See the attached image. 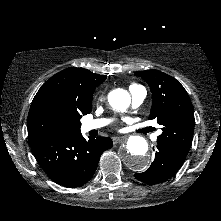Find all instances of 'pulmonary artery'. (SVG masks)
<instances>
[{"mask_svg": "<svg viewBox=\"0 0 221 221\" xmlns=\"http://www.w3.org/2000/svg\"><path fill=\"white\" fill-rule=\"evenodd\" d=\"M130 93H131V98H132V107L136 108L142 104L146 97V90L144 87L139 86V85H133L130 87ZM109 123L108 119H96V120H91V121H86L82 125V129L84 131H90L94 129H99L104 126H106ZM157 136H154V139H156Z\"/></svg>", "mask_w": 221, "mask_h": 221, "instance_id": "e3ab8cb5", "label": "pulmonary artery"}]
</instances>
